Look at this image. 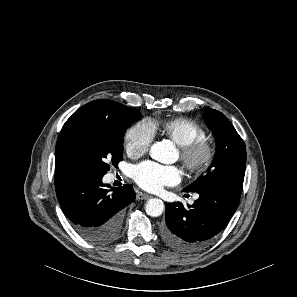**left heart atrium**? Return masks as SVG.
<instances>
[{"instance_id": "left-heart-atrium-1", "label": "left heart atrium", "mask_w": 297, "mask_h": 297, "mask_svg": "<svg viewBox=\"0 0 297 297\" xmlns=\"http://www.w3.org/2000/svg\"><path fill=\"white\" fill-rule=\"evenodd\" d=\"M132 176L140 187L147 191L156 192L164 186L179 183L182 174L176 166H163L151 161H145L133 168Z\"/></svg>"}]
</instances>
